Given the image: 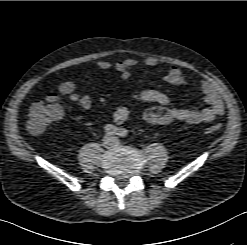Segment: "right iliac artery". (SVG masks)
I'll use <instances>...</instances> for the list:
<instances>
[{
    "instance_id": "82829eb1",
    "label": "right iliac artery",
    "mask_w": 247,
    "mask_h": 245,
    "mask_svg": "<svg viewBox=\"0 0 247 245\" xmlns=\"http://www.w3.org/2000/svg\"><path fill=\"white\" fill-rule=\"evenodd\" d=\"M104 130H105V132L110 133V134H113V133L117 134L119 131V129L112 124L105 125Z\"/></svg>"
}]
</instances>
